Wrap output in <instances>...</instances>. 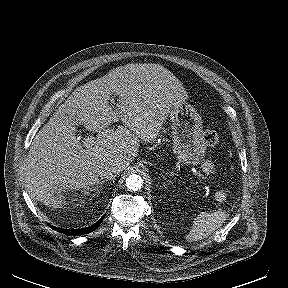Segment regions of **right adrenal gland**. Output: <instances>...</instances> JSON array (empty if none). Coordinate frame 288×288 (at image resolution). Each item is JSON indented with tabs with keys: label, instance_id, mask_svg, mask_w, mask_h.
<instances>
[{
	"label": "right adrenal gland",
	"instance_id": "1",
	"mask_svg": "<svg viewBox=\"0 0 288 288\" xmlns=\"http://www.w3.org/2000/svg\"><path fill=\"white\" fill-rule=\"evenodd\" d=\"M105 183V181H101L99 184H97L96 187H94L91 191H96V194H99L100 193V190L103 186V184Z\"/></svg>",
	"mask_w": 288,
	"mask_h": 288
}]
</instances>
